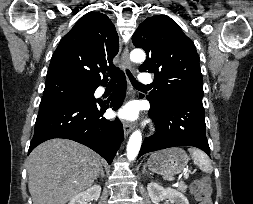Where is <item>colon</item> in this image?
Listing matches in <instances>:
<instances>
[{
    "mask_svg": "<svg viewBox=\"0 0 253 204\" xmlns=\"http://www.w3.org/2000/svg\"><path fill=\"white\" fill-rule=\"evenodd\" d=\"M192 192L195 194L199 204H212L211 191L207 180L195 182L192 185Z\"/></svg>",
    "mask_w": 253,
    "mask_h": 204,
    "instance_id": "5ec220e1",
    "label": "colon"
}]
</instances>
